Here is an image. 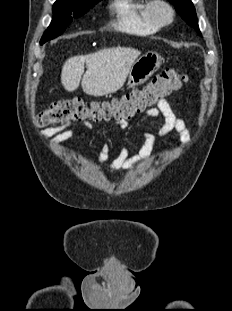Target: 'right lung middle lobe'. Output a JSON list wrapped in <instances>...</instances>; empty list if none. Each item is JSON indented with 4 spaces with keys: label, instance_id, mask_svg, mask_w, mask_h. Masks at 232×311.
<instances>
[{
    "label": "right lung middle lobe",
    "instance_id": "right-lung-middle-lobe-1",
    "mask_svg": "<svg viewBox=\"0 0 232 311\" xmlns=\"http://www.w3.org/2000/svg\"><path fill=\"white\" fill-rule=\"evenodd\" d=\"M100 0H57L53 5V19L44 32L40 44L61 35L74 18L85 14Z\"/></svg>",
    "mask_w": 232,
    "mask_h": 311
}]
</instances>
